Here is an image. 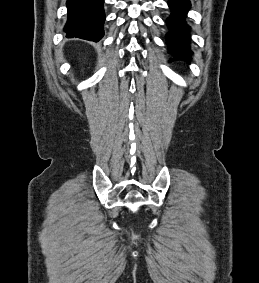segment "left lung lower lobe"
Returning <instances> with one entry per match:
<instances>
[{
  "label": "left lung lower lobe",
  "instance_id": "0a47b994",
  "mask_svg": "<svg viewBox=\"0 0 259 283\" xmlns=\"http://www.w3.org/2000/svg\"><path fill=\"white\" fill-rule=\"evenodd\" d=\"M168 5L172 11L167 19L169 33L166 35L169 52L174 59H181L189 62L191 59L190 50V27L184 21L187 11L190 9L189 0H169Z\"/></svg>",
  "mask_w": 259,
  "mask_h": 283
}]
</instances>
